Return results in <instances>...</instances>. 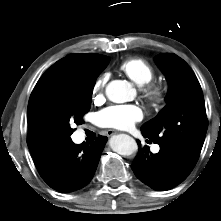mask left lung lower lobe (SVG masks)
I'll return each instance as SVG.
<instances>
[{
    "mask_svg": "<svg viewBox=\"0 0 221 221\" xmlns=\"http://www.w3.org/2000/svg\"><path fill=\"white\" fill-rule=\"evenodd\" d=\"M142 134L147 138L143 131ZM137 142L139 153L131 168L139 180L155 190L174 188L186 179L197 162L177 148L160 145V151L152 154Z\"/></svg>",
    "mask_w": 221,
    "mask_h": 221,
    "instance_id": "obj_1",
    "label": "left lung lower lobe"
}]
</instances>
